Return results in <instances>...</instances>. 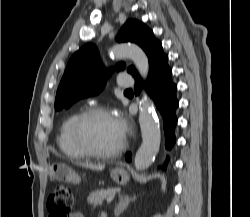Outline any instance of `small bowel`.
Returning a JSON list of instances; mask_svg holds the SVG:
<instances>
[{
  "label": "small bowel",
  "instance_id": "c3829d8e",
  "mask_svg": "<svg viewBox=\"0 0 250 217\" xmlns=\"http://www.w3.org/2000/svg\"><path fill=\"white\" fill-rule=\"evenodd\" d=\"M69 217H84L81 212H73Z\"/></svg>",
  "mask_w": 250,
  "mask_h": 217
}]
</instances>
